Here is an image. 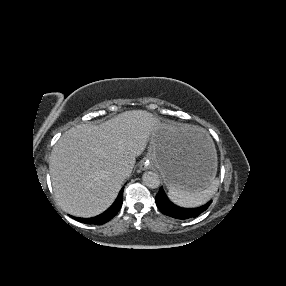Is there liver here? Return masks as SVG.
Instances as JSON below:
<instances>
[{
  "label": "liver",
  "instance_id": "6515ba94",
  "mask_svg": "<svg viewBox=\"0 0 286 286\" xmlns=\"http://www.w3.org/2000/svg\"><path fill=\"white\" fill-rule=\"evenodd\" d=\"M160 124L147 111L131 110L101 125L80 124L67 130L49 159L59 206L71 215L84 218L104 212L116 199L126 178L116 174V167L126 166L130 175L136 158L144 152ZM165 124L172 143L206 134L202 128L188 124Z\"/></svg>",
  "mask_w": 286,
  "mask_h": 286
}]
</instances>
